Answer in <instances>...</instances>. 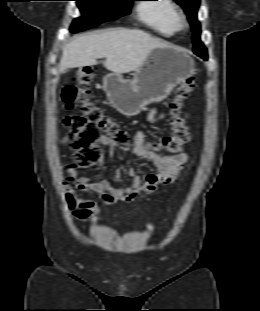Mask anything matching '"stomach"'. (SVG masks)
Segmentation results:
<instances>
[{
    "label": "stomach",
    "instance_id": "1",
    "mask_svg": "<svg viewBox=\"0 0 260 311\" xmlns=\"http://www.w3.org/2000/svg\"><path fill=\"white\" fill-rule=\"evenodd\" d=\"M195 71L194 59L184 49L166 45L150 52L132 81L112 72L103 78V87L116 110L126 116H134L145 105L167 98Z\"/></svg>",
    "mask_w": 260,
    "mask_h": 311
}]
</instances>
